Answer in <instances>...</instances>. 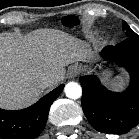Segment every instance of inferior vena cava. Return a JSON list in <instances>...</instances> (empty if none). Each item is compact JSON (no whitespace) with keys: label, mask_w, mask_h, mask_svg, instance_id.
Listing matches in <instances>:
<instances>
[{"label":"inferior vena cava","mask_w":139,"mask_h":139,"mask_svg":"<svg viewBox=\"0 0 139 139\" xmlns=\"http://www.w3.org/2000/svg\"><path fill=\"white\" fill-rule=\"evenodd\" d=\"M54 78L50 75L43 76L39 79L38 86L42 89L54 84Z\"/></svg>","instance_id":"602c4592"}]
</instances>
